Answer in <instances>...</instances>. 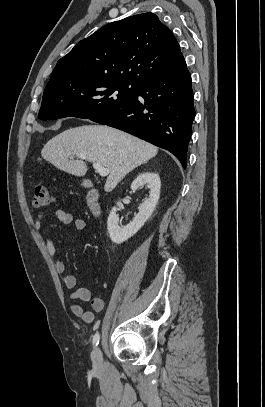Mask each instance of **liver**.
<instances>
[{
	"instance_id": "liver-1",
	"label": "liver",
	"mask_w": 265,
	"mask_h": 407,
	"mask_svg": "<svg viewBox=\"0 0 265 407\" xmlns=\"http://www.w3.org/2000/svg\"><path fill=\"white\" fill-rule=\"evenodd\" d=\"M157 153L156 146L106 125L70 128L50 139L41 151L46 161L75 176H84L88 170L82 160H71L75 155H84L87 161L107 168L106 192Z\"/></svg>"
}]
</instances>
